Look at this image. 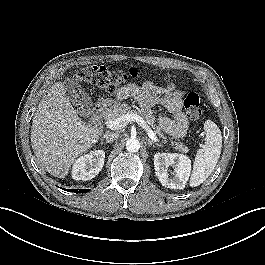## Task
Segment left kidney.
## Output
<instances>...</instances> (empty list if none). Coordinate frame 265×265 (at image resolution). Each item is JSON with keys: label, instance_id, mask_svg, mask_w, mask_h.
Instances as JSON below:
<instances>
[{"label": "left kidney", "instance_id": "5707ae66", "mask_svg": "<svg viewBox=\"0 0 265 265\" xmlns=\"http://www.w3.org/2000/svg\"><path fill=\"white\" fill-rule=\"evenodd\" d=\"M169 166L174 167V177L167 173ZM154 169L160 183L171 189H183L191 172V160L178 153H156L154 155Z\"/></svg>", "mask_w": 265, "mask_h": 265}]
</instances>
